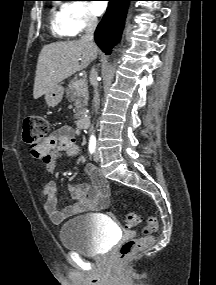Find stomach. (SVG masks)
Masks as SVG:
<instances>
[{
	"instance_id": "1",
	"label": "stomach",
	"mask_w": 216,
	"mask_h": 285,
	"mask_svg": "<svg viewBox=\"0 0 216 285\" xmlns=\"http://www.w3.org/2000/svg\"><path fill=\"white\" fill-rule=\"evenodd\" d=\"M64 94V88L61 85H57L54 87L51 91L47 92L45 94V101L49 107H55L57 106Z\"/></svg>"
}]
</instances>
